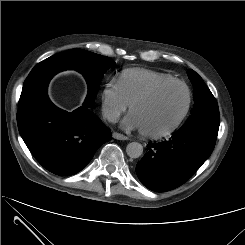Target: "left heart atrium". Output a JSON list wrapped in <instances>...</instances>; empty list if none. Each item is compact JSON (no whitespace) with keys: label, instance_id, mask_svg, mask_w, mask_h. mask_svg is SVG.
I'll use <instances>...</instances> for the list:
<instances>
[{"label":"left heart atrium","instance_id":"1","mask_svg":"<svg viewBox=\"0 0 245 245\" xmlns=\"http://www.w3.org/2000/svg\"><path fill=\"white\" fill-rule=\"evenodd\" d=\"M123 125L129 129H140L137 118L131 113L123 121Z\"/></svg>","mask_w":245,"mask_h":245}]
</instances>
